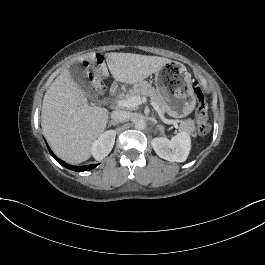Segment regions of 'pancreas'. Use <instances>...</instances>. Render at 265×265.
Instances as JSON below:
<instances>
[{"label":"pancreas","instance_id":"obj_1","mask_svg":"<svg viewBox=\"0 0 265 265\" xmlns=\"http://www.w3.org/2000/svg\"><path fill=\"white\" fill-rule=\"evenodd\" d=\"M134 96H136V97H141V96L149 97L161 109H163L164 104H165L163 98L161 96H158L156 94V92L154 91V89L152 88V86L145 81H141L138 84L134 85V88L129 90L126 97L131 98ZM181 130H187L190 133L194 132L195 127H194L193 121L189 120L185 125L181 126Z\"/></svg>","mask_w":265,"mask_h":265}]
</instances>
